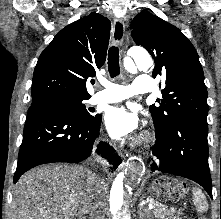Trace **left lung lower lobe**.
Masks as SVG:
<instances>
[{"label":"left lung lower lobe","mask_w":221,"mask_h":219,"mask_svg":"<svg viewBox=\"0 0 221 219\" xmlns=\"http://www.w3.org/2000/svg\"><path fill=\"white\" fill-rule=\"evenodd\" d=\"M153 147L152 172L169 173L200 184L212 198L208 165V126L196 120L179 118L157 131Z\"/></svg>","instance_id":"left-lung-lower-lobe-1"}]
</instances>
